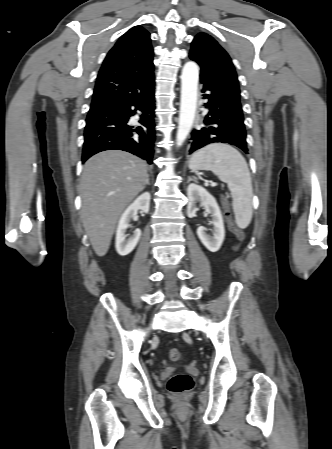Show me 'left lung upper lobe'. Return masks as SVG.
Listing matches in <instances>:
<instances>
[{"mask_svg": "<svg viewBox=\"0 0 332 449\" xmlns=\"http://www.w3.org/2000/svg\"><path fill=\"white\" fill-rule=\"evenodd\" d=\"M200 68V80L240 101V90L232 61L227 52L210 35L200 33L192 41L189 54Z\"/></svg>", "mask_w": 332, "mask_h": 449, "instance_id": "5c2ea615", "label": "left lung upper lobe"}]
</instances>
